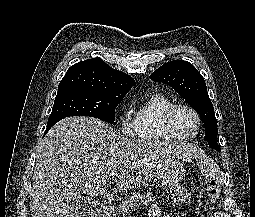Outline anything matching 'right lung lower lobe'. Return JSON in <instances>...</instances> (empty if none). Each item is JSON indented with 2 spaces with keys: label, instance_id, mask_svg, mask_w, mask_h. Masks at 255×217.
<instances>
[{
  "label": "right lung lower lobe",
  "instance_id": "right-lung-lower-lobe-1",
  "mask_svg": "<svg viewBox=\"0 0 255 217\" xmlns=\"http://www.w3.org/2000/svg\"><path fill=\"white\" fill-rule=\"evenodd\" d=\"M63 119V118H62ZM61 119H57V120H55V121H53V122H50V123H48V126H47V128H46V130H45V132H44V135L50 130V128L55 124V123H57L58 121H60Z\"/></svg>",
  "mask_w": 255,
  "mask_h": 217
}]
</instances>
